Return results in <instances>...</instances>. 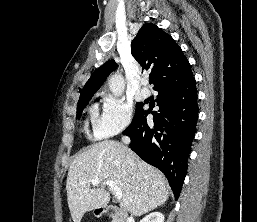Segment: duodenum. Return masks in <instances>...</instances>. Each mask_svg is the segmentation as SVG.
Segmentation results:
<instances>
[{"mask_svg":"<svg viewBox=\"0 0 257 222\" xmlns=\"http://www.w3.org/2000/svg\"><path fill=\"white\" fill-rule=\"evenodd\" d=\"M108 213L112 214L114 222H128L127 215L125 212L118 206L107 205V206H99L96 209V214L98 216H105Z\"/></svg>","mask_w":257,"mask_h":222,"instance_id":"410a0bca","label":"duodenum"}]
</instances>
